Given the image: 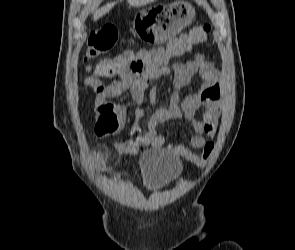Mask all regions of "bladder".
Returning a JSON list of instances; mask_svg holds the SVG:
<instances>
[{"instance_id":"31cf9c89","label":"bladder","mask_w":295,"mask_h":250,"mask_svg":"<svg viewBox=\"0 0 295 250\" xmlns=\"http://www.w3.org/2000/svg\"><path fill=\"white\" fill-rule=\"evenodd\" d=\"M140 162L143 180L151 191H159L172 184L183 170L182 161L164 150L145 151Z\"/></svg>"}]
</instances>
